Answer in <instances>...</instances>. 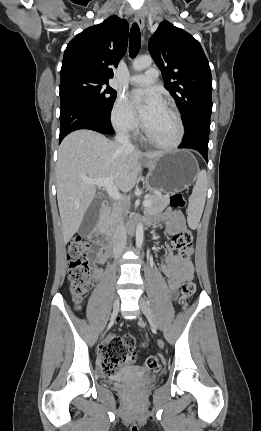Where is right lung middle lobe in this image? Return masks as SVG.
<instances>
[{
  "mask_svg": "<svg viewBox=\"0 0 261 431\" xmlns=\"http://www.w3.org/2000/svg\"><path fill=\"white\" fill-rule=\"evenodd\" d=\"M116 96L108 81L93 75L76 72L61 76L60 97H71L107 112L112 109Z\"/></svg>",
  "mask_w": 261,
  "mask_h": 431,
  "instance_id": "1",
  "label": "right lung middle lobe"
}]
</instances>
